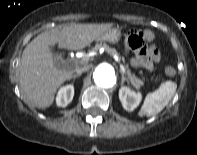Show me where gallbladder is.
Here are the masks:
<instances>
[{
  "mask_svg": "<svg viewBox=\"0 0 197 155\" xmlns=\"http://www.w3.org/2000/svg\"><path fill=\"white\" fill-rule=\"evenodd\" d=\"M51 50L53 51L54 54V63L57 67H62L63 65V58H62V54L54 51L53 48H51Z\"/></svg>",
  "mask_w": 197,
  "mask_h": 155,
  "instance_id": "bac80fb5",
  "label": "gallbladder"
}]
</instances>
